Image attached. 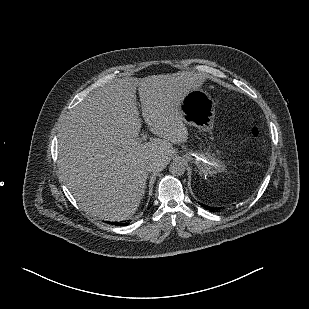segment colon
I'll return each instance as SVG.
<instances>
[{"label":"colon","instance_id":"colon-1","mask_svg":"<svg viewBox=\"0 0 309 309\" xmlns=\"http://www.w3.org/2000/svg\"><path fill=\"white\" fill-rule=\"evenodd\" d=\"M252 133H253L254 136H257V135H258V131L255 130V129L252 131Z\"/></svg>","mask_w":309,"mask_h":309}]
</instances>
